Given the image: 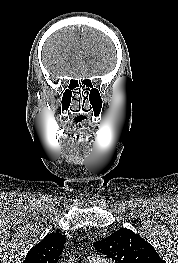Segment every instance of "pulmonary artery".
Here are the masks:
<instances>
[{"label": "pulmonary artery", "instance_id": "obj_1", "mask_svg": "<svg viewBox=\"0 0 178 263\" xmlns=\"http://www.w3.org/2000/svg\"><path fill=\"white\" fill-rule=\"evenodd\" d=\"M90 260H91V261H104L103 258L98 257V256H96V257H92Z\"/></svg>", "mask_w": 178, "mask_h": 263}]
</instances>
